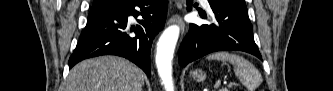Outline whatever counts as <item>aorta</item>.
<instances>
[{
    "label": "aorta",
    "instance_id": "aorta-1",
    "mask_svg": "<svg viewBox=\"0 0 333 91\" xmlns=\"http://www.w3.org/2000/svg\"><path fill=\"white\" fill-rule=\"evenodd\" d=\"M179 27L176 25L168 27L159 38L156 65L158 74L166 91H173L172 59L179 37Z\"/></svg>",
    "mask_w": 333,
    "mask_h": 91
}]
</instances>
